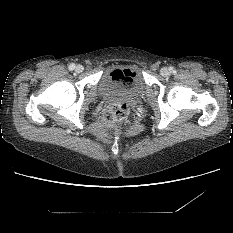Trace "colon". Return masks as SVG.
I'll list each match as a JSON object with an SVG mask.
<instances>
[{"label": "colon", "mask_w": 233, "mask_h": 233, "mask_svg": "<svg viewBox=\"0 0 233 233\" xmlns=\"http://www.w3.org/2000/svg\"><path fill=\"white\" fill-rule=\"evenodd\" d=\"M116 75L125 85L131 83V76L128 71L118 70ZM129 114L130 107L127 102L114 101L106 103L101 109L103 129L111 133L116 132Z\"/></svg>", "instance_id": "colon-1"}]
</instances>
